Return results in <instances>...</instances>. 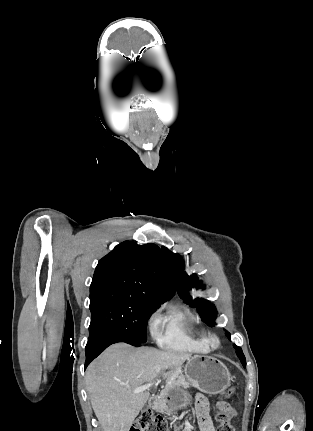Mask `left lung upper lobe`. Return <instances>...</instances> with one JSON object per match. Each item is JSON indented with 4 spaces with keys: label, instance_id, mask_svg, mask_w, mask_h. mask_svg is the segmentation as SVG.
<instances>
[{
    "label": "left lung upper lobe",
    "instance_id": "obj_1",
    "mask_svg": "<svg viewBox=\"0 0 313 431\" xmlns=\"http://www.w3.org/2000/svg\"><path fill=\"white\" fill-rule=\"evenodd\" d=\"M162 251L166 257L167 263L169 265L171 274L174 278V281L177 286V292L185 302H191L190 295L187 294V290L192 287L200 288L202 283L198 281L197 276L195 274L188 276L186 272H184V265L181 257L178 254L170 252L167 248L162 247ZM192 307H197L198 312L201 318L207 322L210 326H214L217 316L216 308L209 301L204 299H195L190 304ZM227 337L230 339V333L226 332ZM236 350V354L240 359L242 365L245 367L246 359L242 352L241 347L234 345Z\"/></svg>",
    "mask_w": 313,
    "mask_h": 431
}]
</instances>
